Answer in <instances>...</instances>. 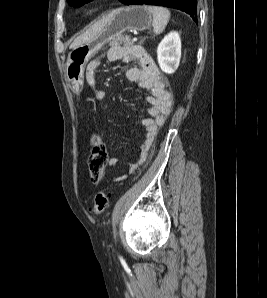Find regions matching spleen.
I'll use <instances>...</instances> for the list:
<instances>
[{"instance_id":"spleen-1","label":"spleen","mask_w":267,"mask_h":298,"mask_svg":"<svg viewBox=\"0 0 267 298\" xmlns=\"http://www.w3.org/2000/svg\"><path fill=\"white\" fill-rule=\"evenodd\" d=\"M153 15V32L158 35L161 34L170 19V11L164 7L159 6H144Z\"/></svg>"}]
</instances>
